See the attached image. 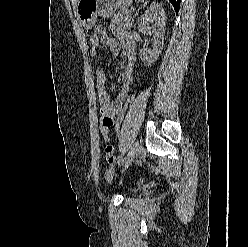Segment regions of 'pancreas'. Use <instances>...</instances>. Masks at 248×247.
I'll list each match as a JSON object with an SVG mask.
<instances>
[{"label": "pancreas", "instance_id": "obj_1", "mask_svg": "<svg viewBox=\"0 0 248 247\" xmlns=\"http://www.w3.org/2000/svg\"><path fill=\"white\" fill-rule=\"evenodd\" d=\"M132 23V16L130 11L126 10L124 13H117L112 17L111 26H118L121 29H129Z\"/></svg>", "mask_w": 248, "mask_h": 247}]
</instances>
